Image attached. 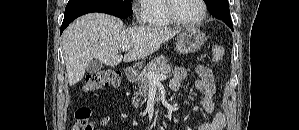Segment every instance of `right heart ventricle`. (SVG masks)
Segmentation results:
<instances>
[{"mask_svg":"<svg viewBox=\"0 0 299 130\" xmlns=\"http://www.w3.org/2000/svg\"><path fill=\"white\" fill-rule=\"evenodd\" d=\"M166 0H147L144 6L145 24L151 27H170L174 22L167 13Z\"/></svg>","mask_w":299,"mask_h":130,"instance_id":"1","label":"right heart ventricle"}]
</instances>
